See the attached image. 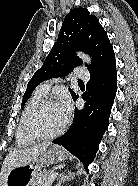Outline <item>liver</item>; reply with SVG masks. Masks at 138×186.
Instances as JSON below:
<instances>
[{"instance_id":"obj_1","label":"liver","mask_w":138,"mask_h":186,"mask_svg":"<svg viewBox=\"0 0 138 186\" xmlns=\"http://www.w3.org/2000/svg\"><path fill=\"white\" fill-rule=\"evenodd\" d=\"M48 143L34 145L26 149L12 150L5 157L1 172H0V186L6 185V177L9 171L14 167L28 165L38 159L42 153L48 148Z\"/></svg>"}]
</instances>
